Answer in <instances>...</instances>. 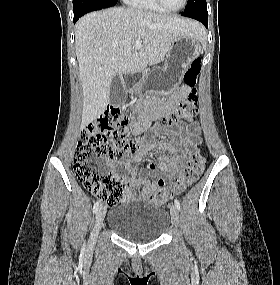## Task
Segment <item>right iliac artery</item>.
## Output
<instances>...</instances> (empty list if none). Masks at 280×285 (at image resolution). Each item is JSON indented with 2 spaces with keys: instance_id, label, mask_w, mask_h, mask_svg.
Returning <instances> with one entry per match:
<instances>
[{
  "instance_id": "right-iliac-artery-1",
  "label": "right iliac artery",
  "mask_w": 280,
  "mask_h": 285,
  "mask_svg": "<svg viewBox=\"0 0 280 285\" xmlns=\"http://www.w3.org/2000/svg\"><path fill=\"white\" fill-rule=\"evenodd\" d=\"M99 206H100V201L98 200V201L95 202V204L93 206V213L97 212Z\"/></svg>"
}]
</instances>
